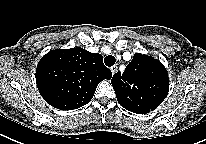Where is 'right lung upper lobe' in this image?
<instances>
[{"mask_svg": "<svg viewBox=\"0 0 206 144\" xmlns=\"http://www.w3.org/2000/svg\"><path fill=\"white\" fill-rule=\"evenodd\" d=\"M35 77L47 103L61 110H72L90 102L97 85L111 79L112 73L103 64L101 54L76 47L47 53L38 63Z\"/></svg>", "mask_w": 206, "mask_h": 144, "instance_id": "1", "label": "right lung upper lobe"}]
</instances>
